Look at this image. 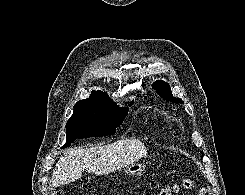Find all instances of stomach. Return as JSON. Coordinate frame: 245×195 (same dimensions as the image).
Masks as SVG:
<instances>
[{"label": "stomach", "mask_w": 245, "mask_h": 195, "mask_svg": "<svg viewBox=\"0 0 245 195\" xmlns=\"http://www.w3.org/2000/svg\"><path fill=\"white\" fill-rule=\"evenodd\" d=\"M145 171V165L142 163H133L124 169L127 175H141Z\"/></svg>", "instance_id": "1"}]
</instances>
